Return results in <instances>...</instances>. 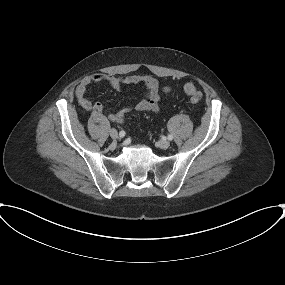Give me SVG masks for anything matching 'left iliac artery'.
<instances>
[{"label": "left iliac artery", "mask_w": 285, "mask_h": 285, "mask_svg": "<svg viewBox=\"0 0 285 285\" xmlns=\"http://www.w3.org/2000/svg\"><path fill=\"white\" fill-rule=\"evenodd\" d=\"M173 139V135H168V140H172Z\"/></svg>", "instance_id": "obj_1"}]
</instances>
